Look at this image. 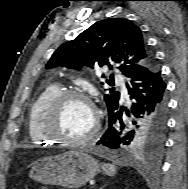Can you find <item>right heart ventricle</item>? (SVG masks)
I'll list each match as a JSON object with an SVG mask.
<instances>
[{
	"mask_svg": "<svg viewBox=\"0 0 188 189\" xmlns=\"http://www.w3.org/2000/svg\"><path fill=\"white\" fill-rule=\"evenodd\" d=\"M61 91L57 83L47 86L32 102L28 110L27 129L31 142L35 145L49 144L54 142L46 137L41 130L42 116L50 100Z\"/></svg>",
	"mask_w": 188,
	"mask_h": 189,
	"instance_id": "1",
	"label": "right heart ventricle"
}]
</instances>
